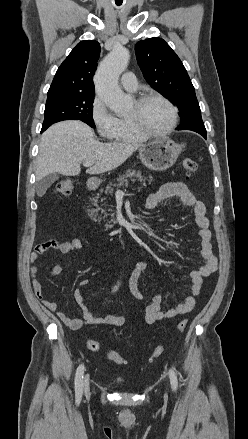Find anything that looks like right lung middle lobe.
<instances>
[{
    "instance_id": "obj_1",
    "label": "right lung middle lobe",
    "mask_w": 248,
    "mask_h": 439,
    "mask_svg": "<svg viewBox=\"0 0 248 439\" xmlns=\"http://www.w3.org/2000/svg\"><path fill=\"white\" fill-rule=\"evenodd\" d=\"M94 93H63L47 97L42 128L63 120H81L95 128Z\"/></svg>"
}]
</instances>
